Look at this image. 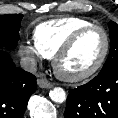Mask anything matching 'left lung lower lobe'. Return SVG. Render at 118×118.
I'll use <instances>...</instances> for the list:
<instances>
[{"mask_svg":"<svg viewBox=\"0 0 118 118\" xmlns=\"http://www.w3.org/2000/svg\"><path fill=\"white\" fill-rule=\"evenodd\" d=\"M65 118H118V67L70 89Z\"/></svg>","mask_w":118,"mask_h":118,"instance_id":"0a47b994","label":"left lung lower lobe"}]
</instances>
